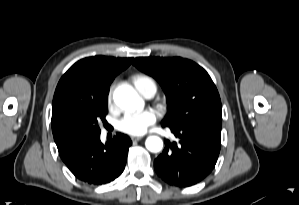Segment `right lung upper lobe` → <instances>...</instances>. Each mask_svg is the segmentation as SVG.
Here are the masks:
<instances>
[{
	"label": "right lung upper lobe",
	"mask_w": 299,
	"mask_h": 205,
	"mask_svg": "<svg viewBox=\"0 0 299 205\" xmlns=\"http://www.w3.org/2000/svg\"><path fill=\"white\" fill-rule=\"evenodd\" d=\"M133 58L94 56L76 62L60 79L52 103V119L64 103L105 95L115 76L126 69Z\"/></svg>",
	"instance_id": "cb5924a9"
}]
</instances>
